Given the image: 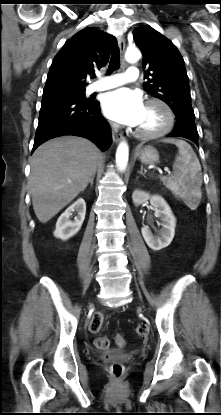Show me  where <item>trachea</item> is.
Listing matches in <instances>:
<instances>
[{"label": "trachea", "mask_w": 221, "mask_h": 415, "mask_svg": "<svg viewBox=\"0 0 221 415\" xmlns=\"http://www.w3.org/2000/svg\"><path fill=\"white\" fill-rule=\"evenodd\" d=\"M119 66H120V52H119V49L116 48L112 51V54H111L108 73H112L113 71L118 69Z\"/></svg>", "instance_id": "3493384b"}]
</instances>
